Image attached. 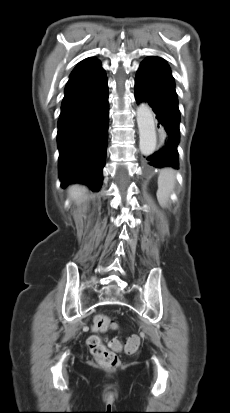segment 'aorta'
I'll use <instances>...</instances> for the list:
<instances>
[{
  "label": "aorta",
  "mask_w": 230,
  "mask_h": 413,
  "mask_svg": "<svg viewBox=\"0 0 230 413\" xmlns=\"http://www.w3.org/2000/svg\"><path fill=\"white\" fill-rule=\"evenodd\" d=\"M137 123L140 138V151L143 155L152 154L156 148L157 135L155 128V118L151 108L143 103L137 108Z\"/></svg>",
  "instance_id": "aorta-1"
}]
</instances>
